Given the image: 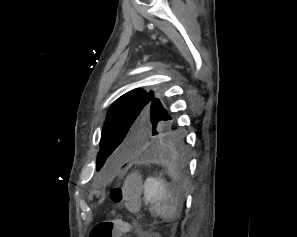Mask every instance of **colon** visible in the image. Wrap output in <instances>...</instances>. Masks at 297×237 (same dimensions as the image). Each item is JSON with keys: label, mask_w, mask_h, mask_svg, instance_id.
<instances>
[{"label": "colon", "mask_w": 297, "mask_h": 237, "mask_svg": "<svg viewBox=\"0 0 297 237\" xmlns=\"http://www.w3.org/2000/svg\"><path fill=\"white\" fill-rule=\"evenodd\" d=\"M111 200L120 208L135 211L139 204V180L127 177L120 188L112 189ZM131 230V226L123 219L104 220L95 224L89 237H122Z\"/></svg>", "instance_id": "5ec220e1"}]
</instances>
